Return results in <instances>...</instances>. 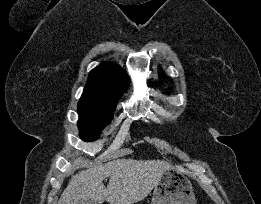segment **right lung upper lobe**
<instances>
[{
  "label": "right lung upper lobe",
  "instance_id": "cb5924a9",
  "mask_svg": "<svg viewBox=\"0 0 261 204\" xmlns=\"http://www.w3.org/2000/svg\"><path fill=\"white\" fill-rule=\"evenodd\" d=\"M127 74L112 62H104L90 73L80 103L116 106L128 86Z\"/></svg>",
  "mask_w": 261,
  "mask_h": 204
}]
</instances>
